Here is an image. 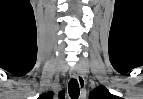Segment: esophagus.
Segmentation results:
<instances>
[{
    "instance_id": "obj_1",
    "label": "esophagus",
    "mask_w": 143,
    "mask_h": 99,
    "mask_svg": "<svg viewBox=\"0 0 143 99\" xmlns=\"http://www.w3.org/2000/svg\"><path fill=\"white\" fill-rule=\"evenodd\" d=\"M72 77L77 79L81 91H84L85 90V86H86L85 79H84V76L79 72V70L77 68H75L72 71Z\"/></svg>"
}]
</instances>
